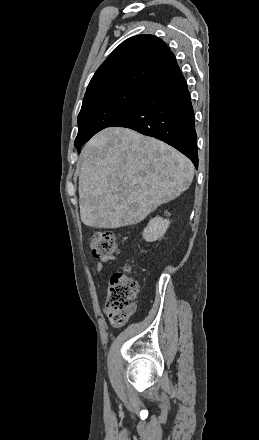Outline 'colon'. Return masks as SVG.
Masks as SVG:
<instances>
[{
	"instance_id": "1",
	"label": "colon",
	"mask_w": 259,
	"mask_h": 440,
	"mask_svg": "<svg viewBox=\"0 0 259 440\" xmlns=\"http://www.w3.org/2000/svg\"><path fill=\"white\" fill-rule=\"evenodd\" d=\"M95 257L114 256L119 253L115 236L108 231H97L93 234L90 244ZM138 283L130 275L128 269L114 273L106 295L105 310L114 326L126 323L134 312V299L138 293Z\"/></svg>"
}]
</instances>
